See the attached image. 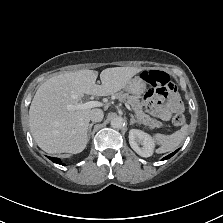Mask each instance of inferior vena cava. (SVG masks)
<instances>
[{
  "label": "inferior vena cava",
  "instance_id": "inferior-vena-cava-1",
  "mask_svg": "<svg viewBox=\"0 0 223 223\" xmlns=\"http://www.w3.org/2000/svg\"><path fill=\"white\" fill-rule=\"evenodd\" d=\"M103 117H104V114L101 109H93L90 113V119L94 122L102 121Z\"/></svg>",
  "mask_w": 223,
  "mask_h": 223
}]
</instances>
